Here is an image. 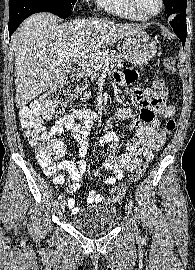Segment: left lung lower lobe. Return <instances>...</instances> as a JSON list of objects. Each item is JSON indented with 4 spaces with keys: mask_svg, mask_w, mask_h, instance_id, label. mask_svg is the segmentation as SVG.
<instances>
[{
    "mask_svg": "<svg viewBox=\"0 0 195 270\" xmlns=\"http://www.w3.org/2000/svg\"><path fill=\"white\" fill-rule=\"evenodd\" d=\"M170 25L173 27V31L180 38L183 44V48L187 36V26H186V14H176L170 17Z\"/></svg>",
    "mask_w": 195,
    "mask_h": 270,
    "instance_id": "left-lung-lower-lobe-1",
    "label": "left lung lower lobe"
}]
</instances>
